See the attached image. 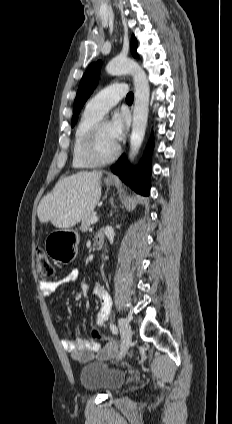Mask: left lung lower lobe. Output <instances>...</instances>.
Segmentation results:
<instances>
[{"mask_svg":"<svg viewBox=\"0 0 232 424\" xmlns=\"http://www.w3.org/2000/svg\"><path fill=\"white\" fill-rule=\"evenodd\" d=\"M153 148V139L149 140L146 152L138 166L133 171L130 165L125 160V156H122L117 164L112 168V172L119 175L122 181L128 183L137 193L144 196H148L150 193V176L151 166L150 157Z\"/></svg>","mask_w":232,"mask_h":424,"instance_id":"1","label":"left lung lower lobe"}]
</instances>
